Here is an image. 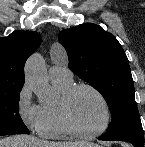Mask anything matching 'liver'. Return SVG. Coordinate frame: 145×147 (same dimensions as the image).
Returning a JSON list of instances; mask_svg holds the SVG:
<instances>
[{"label": "liver", "mask_w": 145, "mask_h": 147, "mask_svg": "<svg viewBox=\"0 0 145 147\" xmlns=\"http://www.w3.org/2000/svg\"><path fill=\"white\" fill-rule=\"evenodd\" d=\"M0 147H98L89 142H49L30 135H15L0 139Z\"/></svg>", "instance_id": "1"}]
</instances>
